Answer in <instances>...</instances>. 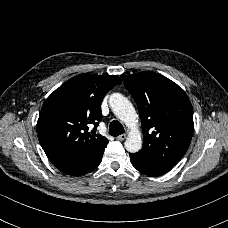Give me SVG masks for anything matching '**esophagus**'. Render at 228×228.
Returning <instances> with one entry per match:
<instances>
[{"instance_id":"1","label":"esophagus","mask_w":228,"mask_h":228,"mask_svg":"<svg viewBox=\"0 0 228 228\" xmlns=\"http://www.w3.org/2000/svg\"><path fill=\"white\" fill-rule=\"evenodd\" d=\"M125 139H126V135L125 134H121V135H119V136L116 137V140L117 141H123Z\"/></svg>"}]
</instances>
